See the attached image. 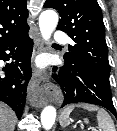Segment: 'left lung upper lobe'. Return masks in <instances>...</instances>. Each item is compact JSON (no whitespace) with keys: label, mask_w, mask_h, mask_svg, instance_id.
Segmentation results:
<instances>
[{"label":"left lung upper lobe","mask_w":117,"mask_h":131,"mask_svg":"<svg viewBox=\"0 0 117 131\" xmlns=\"http://www.w3.org/2000/svg\"><path fill=\"white\" fill-rule=\"evenodd\" d=\"M45 8L56 9L61 19L57 29L76 43L64 59L77 63L109 84L110 65L105 26L96 0H47Z\"/></svg>","instance_id":"5c2ea615"}]
</instances>
